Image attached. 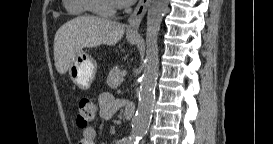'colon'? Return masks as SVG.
Here are the masks:
<instances>
[{
  "label": "colon",
  "mask_w": 273,
  "mask_h": 144,
  "mask_svg": "<svg viewBox=\"0 0 273 144\" xmlns=\"http://www.w3.org/2000/svg\"><path fill=\"white\" fill-rule=\"evenodd\" d=\"M98 109L95 102L89 98H82L78 104L77 124L81 128L87 127L97 117Z\"/></svg>",
  "instance_id": "1"
}]
</instances>
